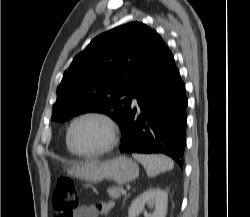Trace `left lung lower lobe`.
I'll return each instance as SVG.
<instances>
[{"instance_id": "obj_1", "label": "left lung lower lobe", "mask_w": 250, "mask_h": 217, "mask_svg": "<svg viewBox=\"0 0 250 217\" xmlns=\"http://www.w3.org/2000/svg\"><path fill=\"white\" fill-rule=\"evenodd\" d=\"M131 106L121 126L122 153H163L183 168L186 143L185 85L174 57L163 41L149 70L132 91Z\"/></svg>"}]
</instances>
